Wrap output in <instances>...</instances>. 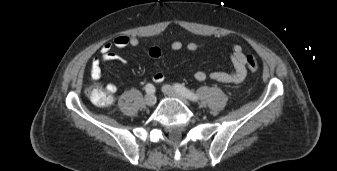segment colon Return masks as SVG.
Returning a JSON list of instances; mask_svg holds the SVG:
<instances>
[{"label": "colon", "mask_w": 337, "mask_h": 171, "mask_svg": "<svg viewBox=\"0 0 337 171\" xmlns=\"http://www.w3.org/2000/svg\"><path fill=\"white\" fill-rule=\"evenodd\" d=\"M246 65L251 72H255L258 69V61L256 57L253 55H248L246 57ZM88 97L93 104L99 107H106L113 103L112 95L107 91L97 87L91 88L88 91Z\"/></svg>", "instance_id": "colon-1"}]
</instances>
